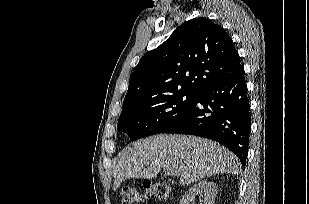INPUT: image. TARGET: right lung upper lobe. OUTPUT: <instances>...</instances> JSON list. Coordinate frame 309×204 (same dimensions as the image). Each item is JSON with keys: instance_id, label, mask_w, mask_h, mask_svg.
Here are the masks:
<instances>
[{"instance_id": "cb5924a9", "label": "right lung upper lobe", "mask_w": 309, "mask_h": 204, "mask_svg": "<svg viewBox=\"0 0 309 204\" xmlns=\"http://www.w3.org/2000/svg\"><path fill=\"white\" fill-rule=\"evenodd\" d=\"M241 67L225 29L200 17L184 22L134 68L124 103L175 92L199 94Z\"/></svg>"}]
</instances>
